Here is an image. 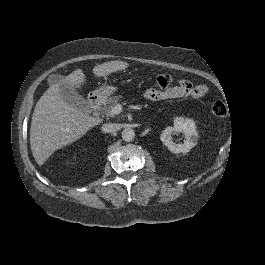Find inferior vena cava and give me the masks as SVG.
Listing matches in <instances>:
<instances>
[{
	"mask_svg": "<svg viewBox=\"0 0 265 265\" xmlns=\"http://www.w3.org/2000/svg\"><path fill=\"white\" fill-rule=\"evenodd\" d=\"M102 130L106 133H115L117 130H119V125L112 123L103 124Z\"/></svg>",
	"mask_w": 265,
	"mask_h": 265,
	"instance_id": "1",
	"label": "inferior vena cava"
}]
</instances>
